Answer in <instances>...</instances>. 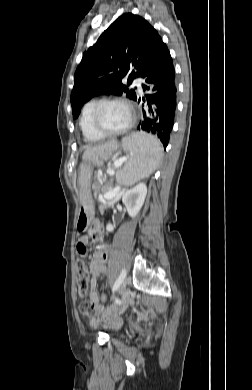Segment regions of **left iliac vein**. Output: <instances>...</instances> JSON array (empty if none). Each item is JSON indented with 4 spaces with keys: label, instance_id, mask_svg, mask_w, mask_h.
Listing matches in <instances>:
<instances>
[{
    "label": "left iliac vein",
    "instance_id": "1",
    "mask_svg": "<svg viewBox=\"0 0 252 390\" xmlns=\"http://www.w3.org/2000/svg\"><path fill=\"white\" fill-rule=\"evenodd\" d=\"M127 282H125L120 291H121V304L118 308H112L109 313H112L113 318L116 319L120 314H122L128 307L129 302H130V292L129 289L126 287Z\"/></svg>",
    "mask_w": 252,
    "mask_h": 390
}]
</instances>
